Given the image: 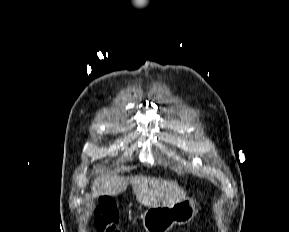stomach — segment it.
I'll return each instance as SVG.
<instances>
[{
    "mask_svg": "<svg viewBox=\"0 0 289 232\" xmlns=\"http://www.w3.org/2000/svg\"><path fill=\"white\" fill-rule=\"evenodd\" d=\"M197 213L196 202L189 197L168 206L149 207L143 214L146 232H168L175 224L190 222Z\"/></svg>",
    "mask_w": 289,
    "mask_h": 232,
    "instance_id": "0dacf381",
    "label": "stomach"
}]
</instances>
